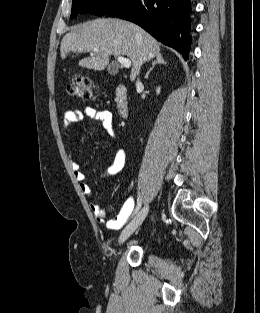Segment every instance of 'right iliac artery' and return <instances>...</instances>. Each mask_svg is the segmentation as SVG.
<instances>
[{
	"mask_svg": "<svg viewBox=\"0 0 260 313\" xmlns=\"http://www.w3.org/2000/svg\"><path fill=\"white\" fill-rule=\"evenodd\" d=\"M141 205H142V201L140 199V200H138V203H137V206L135 208L134 214H136L139 211V209L141 208Z\"/></svg>",
	"mask_w": 260,
	"mask_h": 313,
	"instance_id": "82829eb1",
	"label": "right iliac artery"
}]
</instances>
